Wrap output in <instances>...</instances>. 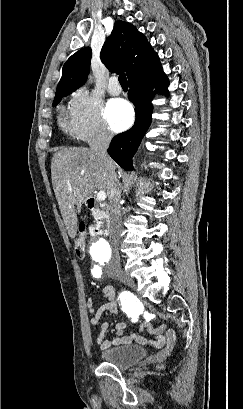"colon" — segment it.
<instances>
[{"instance_id": "obj_1", "label": "colon", "mask_w": 243, "mask_h": 409, "mask_svg": "<svg viewBox=\"0 0 243 409\" xmlns=\"http://www.w3.org/2000/svg\"><path fill=\"white\" fill-rule=\"evenodd\" d=\"M82 231H84V229ZM75 253L79 258H83L85 255V244L82 237H78L75 241Z\"/></svg>"}]
</instances>
